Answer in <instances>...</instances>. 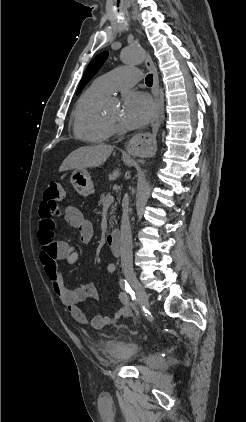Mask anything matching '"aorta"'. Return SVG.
<instances>
[{"label":"aorta","mask_w":246,"mask_h":422,"mask_svg":"<svg viewBox=\"0 0 246 422\" xmlns=\"http://www.w3.org/2000/svg\"><path fill=\"white\" fill-rule=\"evenodd\" d=\"M121 58L127 64H139L145 59V52L141 46H130L122 50Z\"/></svg>","instance_id":"aorta-1"}]
</instances>
